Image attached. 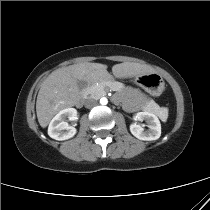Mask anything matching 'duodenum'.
I'll use <instances>...</instances> for the list:
<instances>
[{"label": "duodenum", "mask_w": 210, "mask_h": 210, "mask_svg": "<svg viewBox=\"0 0 210 210\" xmlns=\"http://www.w3.org/2000/svg\"><path fill=\"white\" fill-rule=\"evenodd\" d=\"M78 106L82 105V99L77 103Z\"/></svg>", "instance_id": "duodenum-1"}]
</instances>
